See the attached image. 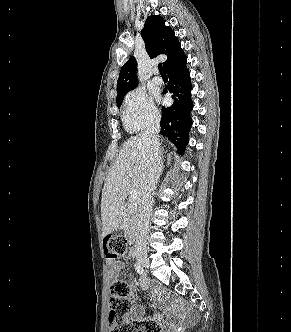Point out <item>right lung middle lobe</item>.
<instances>
[{
    "instance_id": "1",
    "label": "right lung middle lobe",
    "mask_w": 291,
    "mask_h": 332,
    "mask_svg": "<svg viewBox=\"0 0 291 332\" xmlns=\"http://www.w3.org/2000/svg\"><path fill=\"white\" fill-rule=\"evenodd\" d=\"M121 104H122V100L118 101L117 102V107L119 108L121 106Z\"/></svg>"
}]
</instances>
